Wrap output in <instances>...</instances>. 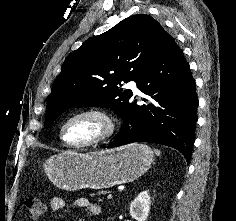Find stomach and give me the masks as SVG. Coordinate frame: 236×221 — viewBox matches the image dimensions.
Instances as JSON below:
<instances>
[{
    "label": "stomach",
    "mask_w": 236,
    "mask_h": 221,
    "mask_svg": "<svg viewBox=\"0 0 236 221\" xmlns=\"http://www.w3.org/2000/svg\"><path fill=\"white\" fill-rule=\"evenodd\" d=\"M153 158L147 145L134 143L85 154L65 151L48 158L44 169L62 190L106 189L136 180L149 169Z\"/></svg>",
    "instance_id": "obj_1"
}]
</instances>
